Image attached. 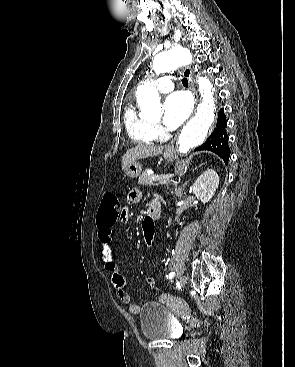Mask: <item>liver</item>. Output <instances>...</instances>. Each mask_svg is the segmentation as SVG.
Returning a JSON list of instances; mask_svg holds the SVG:
<instances>
[{
    "instance_id": "liver-1",
    "label": "liver",
    "mask_w": 295,
    "mask_h": 367,
    "mask_svg": "<svg viewBox=\"0 0 295 367\" xmlns=\"http://www.w3.org/2000/svg\"><path fill=\"white\" fill-rule=\"evenodd\" d=\"M163 151V146L155 145H138L130 148L122 157V169L135 162L138 159H145L153 156H158Z\"/></svg>"
}]
</instances>
